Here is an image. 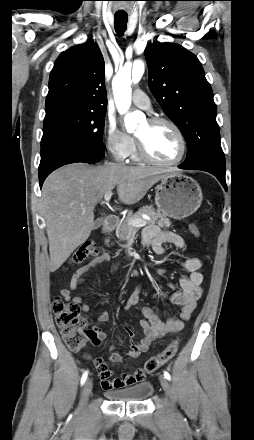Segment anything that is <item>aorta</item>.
<instances>
[{
	"mask_svg": "<svg viewBox=\"0 0 254 440\" xmlns=\"http://www.w3.org/2000/svg\"><path fill=\"white\" fill-rule=\"evenodd\" d=\"M144 71V62L141 60H137L133 64V67L130 64H126L117 72V74L113 78L112 88L119 113H127L131 105L132 81L139 82L144 74ZM140 118L141 114L139 112L126 114L124 118L126 130L128 132H133L137 128V122Z\"/></svg>",
	"mask_w": 254,
	"mask_h": 440,
	"instance_id": "1",
	"label": "aorta"
}]
</instances>
